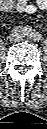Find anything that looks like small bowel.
<instances>
[{"mask_svg": "<svg viewBox=\"0 0 47 129\" xmlns=\"http://www.w3.org/2000/svg\"><path fill=\"white\" fill-rule=\"evenodd\" d=\"M0 7L5 12L15 10L19 13L33 14L37 10H44L47 7V0H35L34 3L30 0H1Z\"/></svg>", "mask_w": 47, "mask_h": 129, "instance_id": "c3829d8e", "label": "small bowel"}]
</instances>
